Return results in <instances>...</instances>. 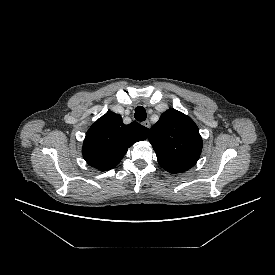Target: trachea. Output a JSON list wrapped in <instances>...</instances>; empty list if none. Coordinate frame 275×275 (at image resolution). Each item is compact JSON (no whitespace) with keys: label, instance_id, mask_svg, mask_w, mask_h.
I'll return each mask as SVG.
<instances>
[{"label":"trachea","instance_id":"obj_1","mask_svg":"<svg viewBox=\"0 0 275 275\" xmlns=\"http://www.w3.org/2000/svg\"><path fill=\"white\" fill-rule=\"evenodd\" d=\"M134 117L137 121H144L147 118L146 110L142 106H138L135 108Z\"/></svg>","mask_w":275,"mask_h":275}]
</instances>
